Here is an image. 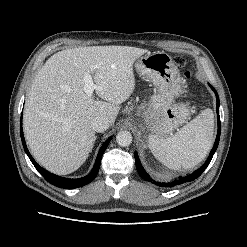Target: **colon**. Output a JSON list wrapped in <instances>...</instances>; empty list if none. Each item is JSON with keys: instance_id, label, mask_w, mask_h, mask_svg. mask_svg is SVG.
<instances>
[{"instance_id": "5ec220e1", "label": "colon", "mask_w": 247, "mask_h": 247, "mask_svg": "<svg viewBox=\"0 0 247 247\" xmlns=\"http://www.w3.org/2000/svg\"><path fill=\"white\" fill-rule=\"evenodd\" d=\"M184 75H185V77L189 78L190 75H191V72H190L189 70H186V71L184 72Z\"/></svg>"}]
</instances>
